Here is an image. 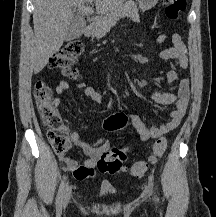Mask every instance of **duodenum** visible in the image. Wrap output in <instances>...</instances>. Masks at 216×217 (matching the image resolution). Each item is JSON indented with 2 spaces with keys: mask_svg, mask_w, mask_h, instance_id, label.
<instances>
[{
  "mask_svg": "<svg viewBox=\"0 0 216 217\" xmlns=\"http://www.w3.org/2000/svg\"><path fill=\"white\" fill-rule=\"evenodd\" d=\"M91 29H92V27L90 24L85 26V29H84L85 34H89L91 32Z\"/></svg>",
  "mask_w": 216,
  "mask_h": 217,
  "instance_id": "duodenum-1",
  "label": "duodenum"
}]
</instances>
